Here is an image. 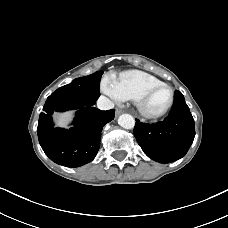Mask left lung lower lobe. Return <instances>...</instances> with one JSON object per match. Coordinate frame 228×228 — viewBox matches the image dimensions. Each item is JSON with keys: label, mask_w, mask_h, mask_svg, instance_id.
<instances>
[{"label": "left lung lower lobe", "mask_w": 228, "mask_h": 228, "mask_svg": "<svg viewBox=\"0 0 228 228\" xmlns=\"http://www.w3.org/2000/svg\"><path fill=\"white\" fill-rule=\"evenodd\" d=\"M134 135L144 153L157 162L182 158L195 136L194 119L183 94L175 92L173 107L164 121L147 124L136 120Z\"/></svg>", "instance_id": "obj_1"}]
</instances>
